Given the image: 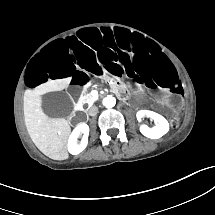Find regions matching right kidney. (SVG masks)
I'll return each mask as SVG.
<instances>
[{"instance_id": "obj_1", "label": "right kidney", "mask_w": 215, "mask_h": 215, "mask_svg": "<svg viewBox=\"0 0 215 215\" xmlns=\"http://www.w3.org/2000/svg\"><path fill=\"white\" fill-rule=\"evenodd\" d=\"M76 129H79L76 136H74V132ZM75 130L72 132L69 141H68V150L71 154L76 155L83 151L88 142V135H89V127L86 123L79 124ZM82 135L80 144H77L78 136Z\"/></svg>"}]
</instances>
